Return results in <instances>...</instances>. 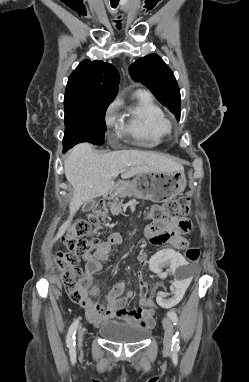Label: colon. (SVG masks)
Returning <instances> with one entry per match:
<instances>
[{"label": "colon", "mask_w": 249, "mask_h": 382, "mask_svg": "<svg viewBox=\"0 0 249 382\" xmlns=\"http://www.w3.org/2000/svg\"><path fill=\"white\" fill-rule=\"evenodd\" d=\"M190 199L186 196L177 199L169 200L163 204L152 206L147 216L154 221H161L168 216L176 214H188L190 212ZM105 218V205L99 203L84 218L76 220L71 227L67 237L64 239L65 251H60L56 255V266L63 272L62 283L63 287L74 302H80L84 299V279L85 272L79 265V257L100 244L98 239L88 240L84 236L89 230L99 225ZM162 242V241H161ZM200 256V250L196 247H189L185 250V257L190 262H197ZM146 281L147 277L141 270L137 271L135 276L136 282ZM148 286H141L140 295L144 298L147 295Z\"/></svg>", "instance_id": "obj_1"}]
</instances>
